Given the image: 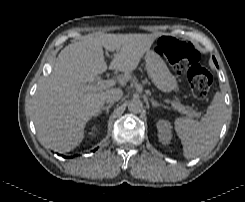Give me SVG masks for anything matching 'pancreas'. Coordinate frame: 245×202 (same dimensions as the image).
<instances>
[{
	"mask_svg": "<svg viewBox=\"0 0 245 202\" xmlns=\"http://www.w3.org/2000/svg\"><path fill=\"white\" fill-rule=\"evenodd\" d=\"M175 103H176L178 106L184 108V109L187 110V111H190V110H191V108L188 107V106H182V105H180V103H178V102H175Z\"/></svg>",
	"mask_w": 245,
	"mask_h": 202,
	"instance_id": "obj_1",
	"label": "pancreas"
}]
</instances>
